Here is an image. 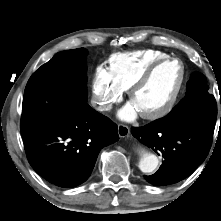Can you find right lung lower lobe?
Here are the masks:
<instances>
[{
	"label": "right lung lower lobe",
	"instance_id": "98d812e1",
	"mask_svg": "<svg viewBox=\"0 0 221 221\" xmlns=\"http://www.w3.org/2000/svg\"><path fill=\"white\" fill-rule=\"evenodd\" d=\"M22 135L32 168L63 188L85 182L100 149L119 139L116 124L87 103L61 122Z\"/></svg>",
	"mask_w": 221,
	"mask_h": 221
}]
</instances>
